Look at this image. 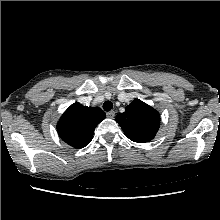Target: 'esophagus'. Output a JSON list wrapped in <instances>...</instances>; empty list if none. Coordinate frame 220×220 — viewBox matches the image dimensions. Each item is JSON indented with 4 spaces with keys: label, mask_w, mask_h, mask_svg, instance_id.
Here are the masks:
<instances>
[{
    "label": "esophagus",
    "mask_w": 220,
    "mask_h": 220,
    "mask_svg": "<svg viewBox=\"0 0 220 220\" xmlns=\"http://www.w3.org/2000/svg\"><path fill=\"white\" fill-rule=\"evenodd\" d=\"M106 115H107L108 118H114L115 112L114 111H109V112L106 113Z\"/></svg>",
    "instance_id": "obj_1"
}]
</instances>
